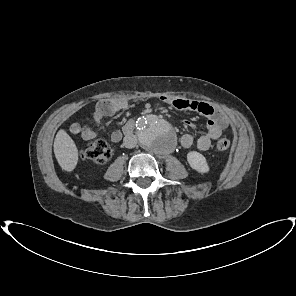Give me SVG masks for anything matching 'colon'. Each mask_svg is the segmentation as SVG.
I'll use <instances>...</instances> for the list:
<instances>
[{"label": "colon", "instance_id": "5ec220e1", "mask_svg": "<svg viewBox=\"0 0 296 296\" xmlns=\"http://www.w3.org/2000/svg\"><path fill=\"white\" fill-rule=\"evenodd\" d=\"M231 141L228 138H222L216 142L218 151H226L230 148ZM82 159L90 160L98 164H104L111 158V150L106 141L97 139L90 142L81 152Z\"/></svg>", "mask_w": 296, "mask_h": 296}]
</instances>
